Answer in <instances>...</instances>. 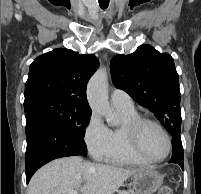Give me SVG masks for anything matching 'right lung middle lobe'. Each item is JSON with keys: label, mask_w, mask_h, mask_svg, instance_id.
Wrapping results in <instances>:
<instances>
[{"label": "right lung middle lobe", "mask_w": 201, "mask_h": 194, "mask_svg": "<svg viewBox=\"0 0 201 194\" xmlns=\"http://www.w3.org/2000/svg\"><path fill=\"white\" fill-rule=\"evenodd\" d=\"M26 119L34 116H44L74 131L80 138L85 136L91 113L79 109L75 105L57 98H40L24 104ZM87 151H84V156Z\"/></svg>", "instance_id": "1"}]
</instances>
